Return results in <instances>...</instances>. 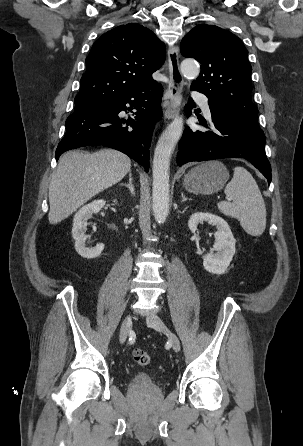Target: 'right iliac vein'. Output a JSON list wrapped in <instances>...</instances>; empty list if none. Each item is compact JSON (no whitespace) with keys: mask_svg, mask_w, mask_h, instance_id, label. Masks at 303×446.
Segmentation results:
<instances>
[{"mask_svg":"<svg viewBox=\"0 0 303 446\" xmlns=\"http://www.w3.org/2000/svg\"><path fill=\"white\" fill-rule=\"evenodd\" d=\"M131 326H132L131 316L128 315L124 318L121 324L120 335H119L120 343H124L126 341Z\"/></svg>","mask_w":303,"mask_h":446,"instance_id":"right-iliac-vein-1","label":"right iliac vein"}]
</instances>
